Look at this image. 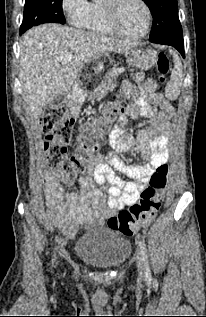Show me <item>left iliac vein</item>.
<instances>
[{
	"instance_id": "left-iliac-vein-1",
	"label": "left iliac vein",
	"mask_w": 206,
	"mask_h": 317,
	"mask_svg": "<svg viewBox=\"0 0 206 317\" xmlns=\"http://www.w3.org/2000/svg\"><path fill=\"white\" fill-rule=\"evenodd\" d=\"M137 268L141 277L145 274V263L141 253L137 254Z\"/></svg>"
}]
</instances>
